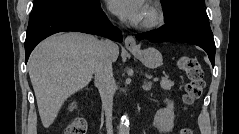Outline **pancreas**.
I'll return each mask as SVG.
<instances>
[{
  "instance_id": "1",
  "label": "pancreas",
  "mask_w": 239,
  "mask_h": 134,
  "mask_svg": "<svg viewBox=\"0 0 239 134\" xmlns=\"http://www.w3.org/2000/svg\"><path fill=\"white\" fill-rule=\"evenodd\" d=\"M160 86L164 90H170L174 86V82L169 80L168 78H163L160 82Z\"/></svg>"
}]
</instances>
